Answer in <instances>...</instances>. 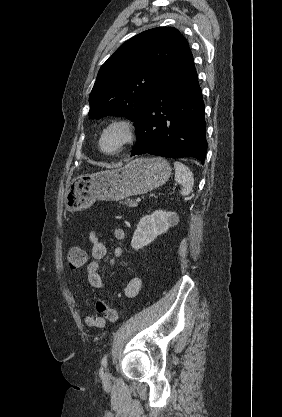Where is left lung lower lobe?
Masks as SVG:
<instances>
[{
	"label": "left lung lower lobe",
	"mask_w": 282,
	"mask_h": 417,
	"mask_svg": "<svg viewBox=\"0 0 282 417\" xmlns=\"http://www.w3.org/2000/svg\"><path fill=\"white\" fill-rule=\"evenodd\" d=\"M205 131L202 91L188 48L140 110L131 156L148 153L167 158L193 157L204 164Z\"/></svg>",
	"instance_id": "left-lung-lower-lobe-1"
}]
</instances>
